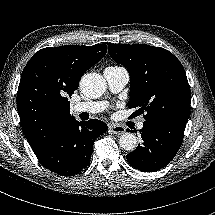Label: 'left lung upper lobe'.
<instances>
[{"label":"left lung upper lobe","mask_w":215,"mask_h":215,"mask_svg":"<svg viewBox=\"0 0 215 215\" xmlns=\"http://www.w3.org/2000/svg\"><path fill=\"white\" fill-rule=\"evenodd\" d=\"M110 56L130 74L128 107L145 121L190 116L191 92L185 70L169 51L149 45L108 43ZM131 115V116H132Z\"/></svg>","instance_id":"left-lung-upper-lobe-1"}]
</instances>
